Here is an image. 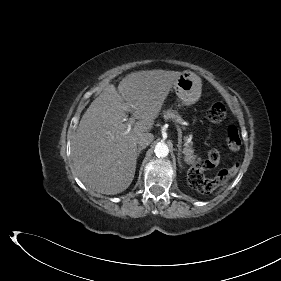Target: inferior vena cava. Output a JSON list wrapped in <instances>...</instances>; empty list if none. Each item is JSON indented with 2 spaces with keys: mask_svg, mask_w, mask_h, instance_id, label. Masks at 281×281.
<instances>
[{
  "mask_svg": "<svg viewBox=\"0 0 281 281\" xmlns=\"http://www.w3.org/2000/svg\"><path fill=\"white\" fill-rule=\"evenodd\" d=\"M154 139L153 134L151 133H141L139 134V136L137 137V144L142 148H145L146 146H148Z\"/></svg>",
  "mask_w": 281,
  "mask_h": 281,
  "instance_id": "602c4592",
  "label": "inferior vena cava"
}]
</instances>
